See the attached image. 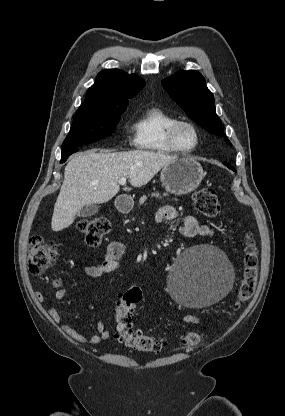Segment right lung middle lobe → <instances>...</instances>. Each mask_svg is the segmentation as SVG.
Listing matches in <instances>:
<instances>
[{
    "label": "right lung middle lobe",
    "instance_id": "1",
    "mask_svg": "<svg viewBox=\"0 0 285 416\" xmlns=\"http://www.w3.org/2000/svg\"><path fill=\"white\" fill-rule=\"evenodd\" d=\"M127 105L103 108L79 107L62 150L89 144L114 132Z\"/></svg>",
    "mask_w": 285,
    "mask_h": 416
}]
</instances>
